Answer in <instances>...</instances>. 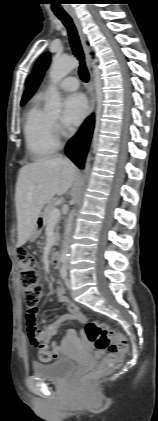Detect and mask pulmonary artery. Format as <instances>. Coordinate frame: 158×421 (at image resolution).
<instances>
[{
	"instance_id": "1",
	"label": "pulmonary artery",
	"mask_w": 158,
	"mask_h": 421,
	"mask_svg": "<svg viewBox=\"0 0 158 421\" xmlns=\"http://www.w3.org/2000/svg\"><path fill=\"white\" fill-rule=\"evenodd\" d=\"M58 87L65 91H75L78 89L79 83L77 78L69 76L61 80Z\"/></svg>"
}]
</instances>
